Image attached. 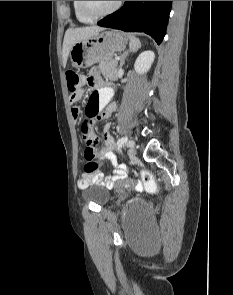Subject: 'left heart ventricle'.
<instances>
[{"mask_svg":"<svg viewBox=\"0 0 233 295\" xmlns=\"http://www.w3.org/2000/svg\"><path fill=\"white\" fill-rule=\"evenodd\" d=\"M86 8L94 13H102L107 10H109L115 3L116 1H84Z\"/></svg>","mask_w":233,"mask_h":295,"instance_id":"left-heart-ventricle-1","label":"left heart ventricle"}]
</instances>
